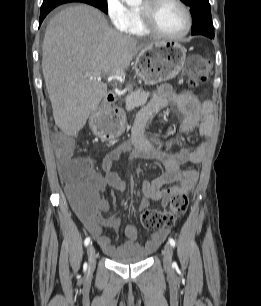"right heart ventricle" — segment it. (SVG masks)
<instances>
[{
	"label": "right heart ventricle",
	"instance_id": "e07e8e85",
	"mask_svg": "<svg viewBox=\"0 0 261 306\" xmlns=\"http://www.w3.org/2000/svg\"><path fill=\"white\" fill-rule=\"evenodd\" d=\"M125 32L136 37H148L151 34L144 26L138 8H129V22Z\"/></svg>",
	"mask_w": 261,
	"mask_h": 306
}]
</instances>
